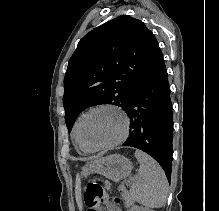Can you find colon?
Wrapping results in <instances>:
<instances>
[{"mask_svg": "<svg viewBox=\"0 0 219 211\" xmlns=\"http://www.w3.org/2000/svg\"><path fill=\"white\" fill-rule=\"evenodd\" d=\"M121 202V199L119 197L114 198V203L119 204Z\"/></svg>", "mask_w": 219, "mask_h": 211, "instance_id": "5ec220e1", "label": "colon"}]
</instances>
